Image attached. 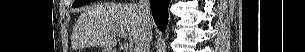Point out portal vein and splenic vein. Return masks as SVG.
<instances>
[{
	"label": "portal vein and splenic vein",
	"instance_id": "obj_1",
	"mask_svg": "<svg viewBox=\"0 0 305 52\" xmlns=\"http://www.w3.org/2000/svg\"><path fill=\"white\" fill-rule=\"evenodd\" d=\"M127 34L126 33H122L120 34V37H125ZM126 52H133L131 47H127Z\"/></svg>",
	"mask_w": 305,
	"mask_h": 52
}]
</instances>
